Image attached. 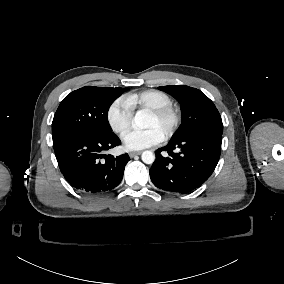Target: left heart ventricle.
I'll list each match as a JSON object with an SVG mask.
<instances>
[{"instance_id": "b2bd125f", "label": "left heart ventricle", "mask_w": 284, "mask_h": 284, "mask_svg": "<svg viewBox=\"0 0 284 284\" xmlns=\"http://www.w3.org/2000/svg\"><path fill=\"white\" fill-rule=\"evenodd\" d=\"M147 127L156 129L163 136L167 129V121L165 119H157L150 115L147 120Z\"/></svg>"}]
</instances>
